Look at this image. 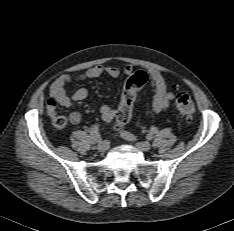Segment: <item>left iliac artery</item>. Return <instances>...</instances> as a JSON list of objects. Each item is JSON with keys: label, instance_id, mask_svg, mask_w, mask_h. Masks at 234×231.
<instances>
[{"label": "left iliac artery", "instance_id": "left-iliac-artery-1", "mask_svg": "<svg viewBox=\"0 0 234 231\" xmlns=\"http://www.w3.org/2000/svg\"><path fill=\"white\" fill-rule=\"evenodd\" d=\"M158 132V129L156 127H152L151 130H150V133L147 135V138L148 139H151L152 136L154 134H156ZM121 135L125 138V139H128V140H132L134 138V136L132 134H130L129 132H126V131H123L121 132Z\"/></svg>", "mask_w": 234, "mask_h": 231}]
</instances>
